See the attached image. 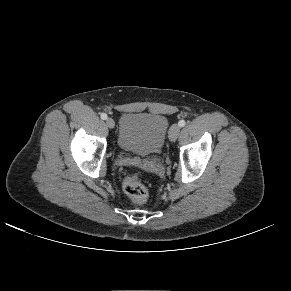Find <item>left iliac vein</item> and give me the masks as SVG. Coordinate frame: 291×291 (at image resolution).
Listing matches in <instances>:
<instances>
[{
	"label": "left iliac vein",
	"mask_w": 291,
	"mask_h": 291,
	"mask_svg": "<svg viewBox=\"0 0 291 291\" xmlns=\"http://www.w3.org/2000/svg\"><path fill=\"white\" fill-rule=\"evenodd\" d=\"M179 132H180V127L179 125L177 124H173L170 128V131H169V139L170 141L174 142L178 135H179Z\"/></svg>",
	"instance_id": "4c4485c4"
}]
</instances>
